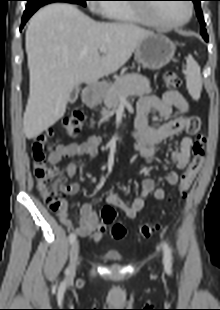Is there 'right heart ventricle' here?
<instances>
[{
  "mask_svg": "<svg viewBox=\"0 0 220 310\" xmlns=\"http://www.w3.org/2000/svg\"><path fill=\"white\" fill-rule=\"evenodd\" d=\"M101 11L107 18L117 22L154 25L150 18L142 16L134 7L129 5L105 4Z\"/></svg>",
  "mask_w": 220,
  "mask_h": 310,
  "instance_id": "e07e8e85",
  "label": "right heart ventricle"
}]
</instances>
